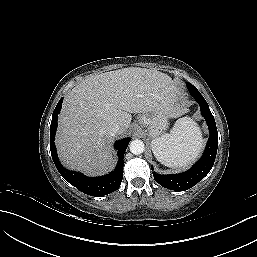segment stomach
I'll return each mask as SVG.
<instances>
[{
	"label": "stomach",
	"instance_id": "1",
	"mask_svg": "<svg viewBox=\"0 0 257 257\" xmlns=\"http://www.w3.org/2000/svg\"><path fill=\"white\" fill-rule=\"evenodd\" d=\"M138 125L149 138H157L168 127V115L163 108L156 107L140 114Z\"/></svg>",
	"mask_w": 257,
	"mask_h": 257
}]
</instances>
